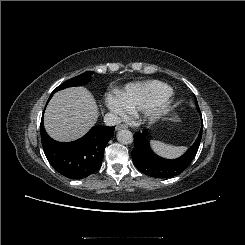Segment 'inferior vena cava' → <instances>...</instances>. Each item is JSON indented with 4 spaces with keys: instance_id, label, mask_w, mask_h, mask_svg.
I'll return each mask as SVG.
<instances>
[{
    "instance_id": "obj_1",
    "label": "inferior vena cava",
    "mask_w": 245,
    "mask_h": 245,
    "mask_svg": "<svg viewBox=\"0 0 245 245\" xmlns=\"http://www.w3.org/2000/svg\"><path fill=\"white\" fill-rule=\"evenodd\" d=\"M104 122L107 126H115L121 123V118L113 113H108L104 117Z\"/></svg>"
}]
</instances>
